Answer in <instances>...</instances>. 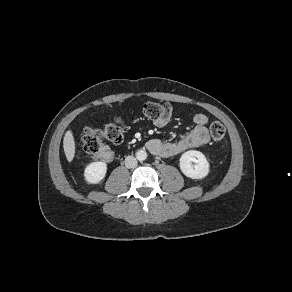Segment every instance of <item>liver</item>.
<instances>
[{
	"mask_svg": "<svg viewBox=\"0 0 292 292\" xmlns=\"http://www.w3.org/2000/svg\"><path fill=\"white\" fill-rule=\"evenodd\" d=\"M63 148L68 162H71L75 155V141L71 130L65 133L63 139Z\"/></svg>",
	"mask_w": 292,
	"mask_h": 292,
	"instance_id": "liver-1",
	"label": "liver"
}]
</instances>
